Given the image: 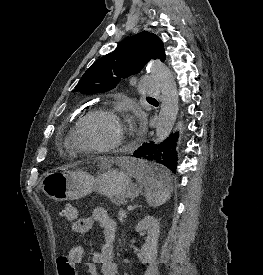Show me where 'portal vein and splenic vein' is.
Wrapping results in <instances>:
<instances>
[{"label": "portal vein and splenic vein", "mask_w": 263, "mask_h": 275, "mask_svg": "<svg viewBox=\"0 0 263 275\" xmlns=\"http://www.w3.org/2000/svg\"><path fill=\"white\" fill-rule=\"evenodd\" d=\"M133 209H134L133 206H128V207H127V210H128V211L133 210Z\"/></svg>", "instance_id": "18ae733b"}]
</instances>
